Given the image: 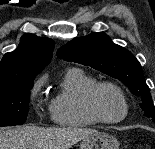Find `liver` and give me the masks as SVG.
Wrapping results in <instances>:
<instances>
[{
    "label": "liver",
    "mask_w": 155,
    "mask_h": 149,
    "mask_svg": "<svg viewBox=\"0 0 155 149\" xmlns=\"http://www.w3.org/2000/svg\"><path fill=\"white\" fill-rule=\"evenodd\" d=\"M94 129L23 126L0 130V149H70Z\"/></svg>",
    "instance_id": "obj_1"
}]
</instances>
